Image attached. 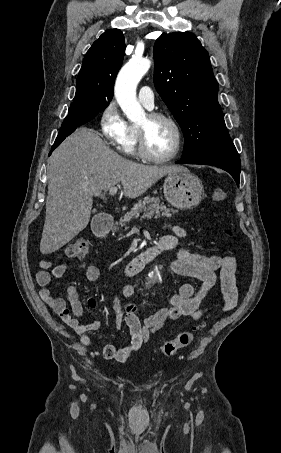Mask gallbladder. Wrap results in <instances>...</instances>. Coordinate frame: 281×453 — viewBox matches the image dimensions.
Returning <instances> with one entry per match:
<instances>
[{"label": "gallbladder", "mask_w": 281, "mask_h": 453, "mask_svg": "<svg viewBox=\"0 0 281 453\" xmlns=\"http://www.w3.org/2000/svg\"><path fill=\"white\" fill-rule=\"evenodd\" d=\"M93 212H97V208H94Z\"/></svg>", "instance_id": "gallbladder-1"}]
</instances>
